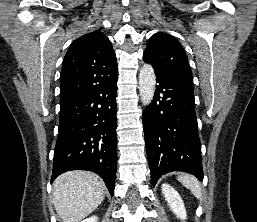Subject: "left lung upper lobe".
<instances>
[{"mask_svg": "<svg viewBox=\"0 0 257 222\" xmlns=\"http://www.w3.org/2000/svg\"><path fill=\"white\" fill-rule=\"evenodd\" d=\"M144 61L151 63L154 70L194 87L187 55L174 36L163 32L154 34L144 52Z\"/></svg>", "mask_w": 257, "mask_h": 222, "instance_id": "1", "label": "left lung upper lobe"}]
</instances>
